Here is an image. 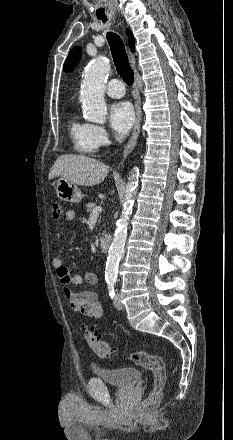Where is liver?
<instances>
[{
	"instance_id": "1",
	"label": "liver",
	"mask_w": 233,
	"mask_h": 440,
	"mask_svg": "<svg viewBox=\"0 0 233 440\" xmlns=\"http://www.w3.org/2000/svg\"><path fill=\"white\" fill-rule=\"evenodd\" d=\"M108 171L109 167L96 159L84 155H62L54 162L49 179L61 176L80 186H93L100 184Z\"/></svg>"
}]
</instances>
